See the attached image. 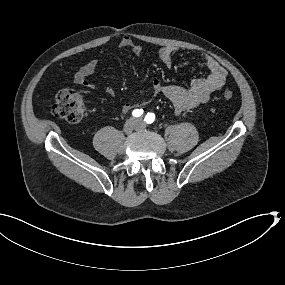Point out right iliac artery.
<instances>
[{
  "label": "right iliac artery",
  "mask_w": 285,
  "mask_h": 285,
  "mask_svg": "<svg viewBox=\"0 0 285 285\" xmlns=\"http://www.w3.org/2000/svg\"><path fill=\"white\" fill-rule=\"evenodd\" d=\"M143 114V109H136V110H134L133 112H132V115L134 116V117H139V116H141Z\"/></svg>",
  "instance_id": "1"
}]
</instances>
